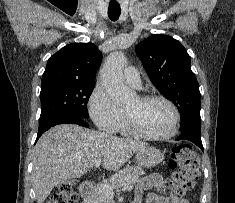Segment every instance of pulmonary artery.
Returning <instances> with one entry per match:
<instances>
[{
	"label": "pulmonary artery",
	"instance_id": "e3ab8cb5",
	"mask_svg": "<svg viewBox=\"0 0 235 203\" xmlns=\"http://www.w3.org/2000/svg\"><path fill=\"white\" fill-rule=\"evenodd\" d=\"M124 80L130 86L140 89L141 88V79L139 72L134 67H127L124 71Z\"/></svg>",
	"mask_w": 235,
	"mask_h": 203
}]
</instances>
